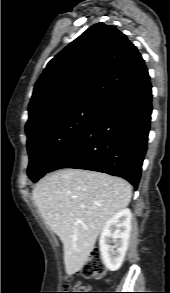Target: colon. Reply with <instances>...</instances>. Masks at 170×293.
<instances>
[{
	"label": "colon",
	"instance_id": "obj_1",
	"mask_svg": "<svg viewBox=\"0 0 170 293\" xmlns=\"http://www.w3.org/2000/svg\"><path fill=\"white\" fill-rule=\"evenodd\" d=\"M80 274L84 276L85 278L93 279V280H97L101 278L103 274V263H102L101 252L98 248H95L94 250H92ZM74 291H77V292H70V293H97V292H86L88 291V287L84 285H77L76 287H74Z\"/></svg>",
	"mask_w": 170,
	"mask_h": 293
}]
</instances>
